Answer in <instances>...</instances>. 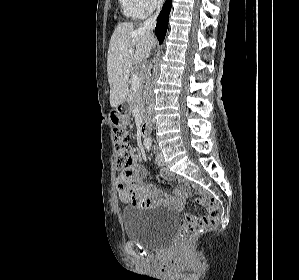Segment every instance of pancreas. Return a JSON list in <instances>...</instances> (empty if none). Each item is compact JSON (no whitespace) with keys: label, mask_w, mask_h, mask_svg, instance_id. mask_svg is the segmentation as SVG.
Masks as SVG:
<instances>
[{"label":"pancreas","mask_w":299,"mask_h":280,"mask_svg":"<svg viewBox=\"0 0 299 280\" xmlns=\"http://www.w3.org/2000/svg\"><path fill=\"white\" fill-rule=\"evenodd\" d=\"M128 103L131 108L137 106L139 110H143V98H142V88L140 87L137 90L131 89L128 93Z\"/></svg>","instance_id":"1"}]
</instances>
